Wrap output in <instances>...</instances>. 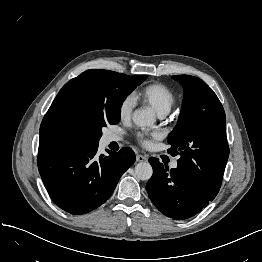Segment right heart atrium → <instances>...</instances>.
<instances>
[{"mask_svg": "<svg viewBox=\"0 0 262 262\" xmlns=\"http://www.w3.org/2000/svg\"><path fill=\"white\" fill-rule=\"evenodd\" d=\"M135 106V99L132 95H127L123 98L119 105L118 113L122 120H127L131 117L133 108Z\"/></svg>", "mask_w": 262, "mask_h": 262, "instance_id": "d8ad5b80", "label": "right heart atrium"}]
</instances>
